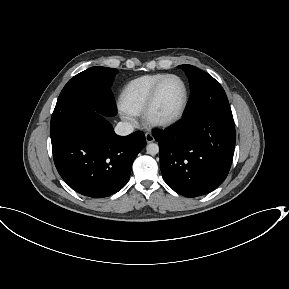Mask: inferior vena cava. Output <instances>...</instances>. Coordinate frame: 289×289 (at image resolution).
<instances>
[{"label":"inferior vena cava","mask_w":289,"mask_h":289,"mask_svg":"<svg viewBox=\"0 0 289 289\" xmlns=\"http://www.w3.org/2000/svg\"><path fill=\"white\" fill-rule=\"evenodd\" d=\"M134 131L132 124L128 122H119L115 127V133L120 136H126Z\"/></svg>","instance_id":"obj_1"}]
</instances>
